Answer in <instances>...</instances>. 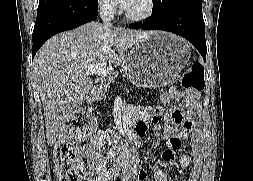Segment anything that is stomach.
Here are the masks:
<instances>
[{
	"label": "stomach",
	"instance_id": "1",
	"mask_svg": "<svg viewBox=\"0 0 253 181\" xmlns=\"http://www.w3.org/2000/svg\"><path fill=\"white\" fill-rule=\"evenodd\" d=\"M190 57V47L184 39L153 31L129 51L124 62L125 76L138 87L166 86L179 75Z\"/></svg>",
	"mask_w": 253,
	"mask_h": 181
}]
</instances>
